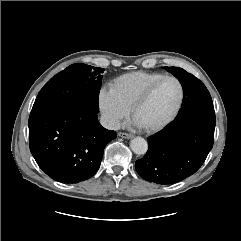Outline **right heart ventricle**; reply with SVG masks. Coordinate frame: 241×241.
I'll return each mask as SVG.
<instances>
[{
  "mask_svg": "<svg viewBox=\"0 0 241 241\" xmlns=\"http://www.w3.org/2000/svg\"><path fill=\"white\" fill-rule=\"evenodd\" d=\"M163 76L165 75L158 72H131L114 79L111 83V88L121 102L130 109L144 90Z\"/></svg>",
  "mask_w": 241,
  "mask_h": 241,
  "instance_id": "e07e8e85",
  "label": "right heart ventricle"
}]
</instances>
